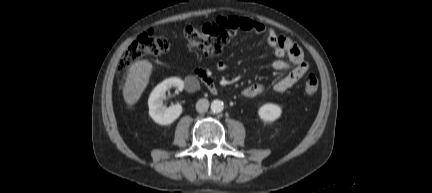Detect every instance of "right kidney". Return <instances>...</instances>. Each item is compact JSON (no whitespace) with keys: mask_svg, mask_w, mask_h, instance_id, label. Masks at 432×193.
<instances>
[{"mask_svg":"<svg viewBox=\"0 0 432 193\" xmlns=\"http://www.w3.org/2000/svg\"><path fill=\"white\" fill-rule=\"evenodd\" d=\"M171 87H177L178 90L182 91L184 83L177 77L166 79L154 88L148 99L149 115L154 122L160 125H169L173 123L179 118L183 111L180 104L168 108L163 105L166 91Z\"/></svg>","mask_w":432,"mask_h":193,"instance_id":"1","label":"right kidney"}]
</instances>
